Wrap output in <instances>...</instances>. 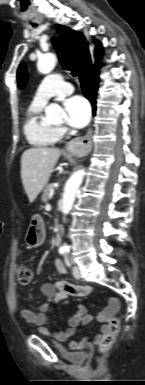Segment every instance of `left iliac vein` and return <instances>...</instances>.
Listing matches in <instances>:
<instances>
[{
	"label": "left iliac vein",
	"instance_id": "1",
	"mask_svg": "<svg viewBox=\"0 0 145 385\" xmlns=\"http://www.w3.org/2000/svg\"><path fill=\"white\" fill-rule=\"evenodd\" d=\"M72 273L76 279H78V280L81 279V270H80L79 266L75 265L72 269Z\"/></svg>",
	"mask_w": 145,
	"mask_h": 385
}]
</instances>
